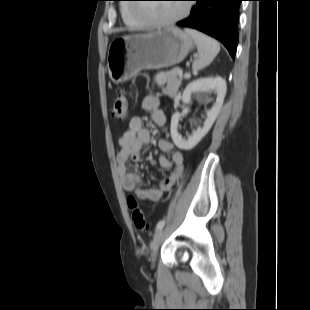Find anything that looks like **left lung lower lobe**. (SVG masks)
Here are the masks:
<instances>
[{
  "instance_id": "obj_1",
  "label": "left lung lower lobe",
  "mask_w": 310,
  "mask_h": 310,
  "mask_svg": "<svg viewBox=\"0 0 310 310\" xmlns=\"http://www.w3.org/2000/svg\"><path fill=\"white\" fill-rule=\"evenodd\" d=\"M193 1H196V5L191 15L177 25L194 28L216 38L234 57L238 45L239 6L243 0Z\"/></svg>"
}]
</instances>
